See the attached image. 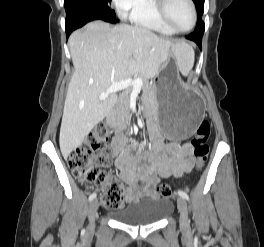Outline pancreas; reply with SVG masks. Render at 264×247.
Wrapping results in <instances>:
<instances>
[{
	"instance_id": "1",
	"label": "pancreas",
	"mask_w": 264,
	"mask_h": 247,
	"mask_svg": "<svg viewBox=\"0 0 264 247\" xmlns=\"http://www.w3.org/2000/svg\"><path fill=\"white\" fill-rule=\"evenodd\" d=\"M143 80L142 90L143 92L150 97V99L155 101L154 87L147 81L144 80L142 76H139ZM133 90V87H128L120 96L114 107L113 115L116 122L123 124L128 122L131 117L130 113V94Z\"/></svg>"
}]
</instances>
